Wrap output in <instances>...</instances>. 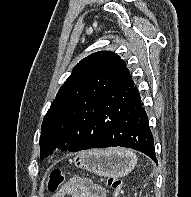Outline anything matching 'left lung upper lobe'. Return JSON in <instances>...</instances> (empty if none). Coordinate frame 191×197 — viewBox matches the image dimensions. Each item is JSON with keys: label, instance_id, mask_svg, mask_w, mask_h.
<instances>
[{"label": "left lung upper lobe", "instance_id": "5c2ea615", "mask_svg": "<svg viewBox=\"0 0 191 197\" xmlns=\"http://www.w3.org/2000/svg\"><path fill=\"white\" fill-rule=\"evenodd\" d=\"M131 79L124 60L110 51H100L82 59L61 86L56 99L43 119L40 157L53 150L71 151L64 130L73 118L89 106L95 97L117 84Z\"/></svg>", "mask_w": 191, "mask_h": 197}]
</instances>
